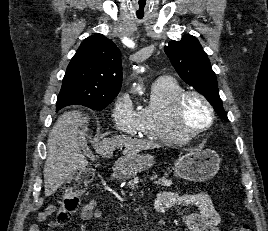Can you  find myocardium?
<instances>
[{"label": "myocardium", "instance_id": "obj_1", "mask_svg": "<svg viewBox=\"0 0 268 231\" xmlns=\"http://www.w3.org/2000/svg\"><path fill=\"white\" fill-rule=\"evenodd\" d=\"M190 97H195L199 99L201 102H203L206 105V107L208 108L210 112V121L206 125H203L195 130H186L181 124L183 106L185 104V101ZM214 120H215L214 107L211 104V102L208 100V98L202 93L196 90H186V91L180 92L175 97L173 101V107H172V121H173V125L176 131L184 140L190 139L192 137H195L205 132L212 126V124L214 123Z\"/></svg>", "mask_w": 268, "mask_h": 231}]
</instances>
